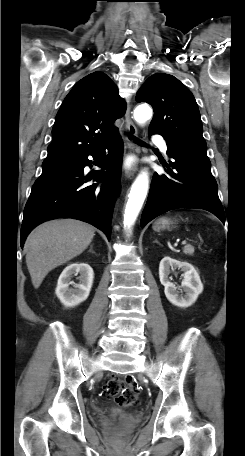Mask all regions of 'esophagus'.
Masks as SVG:
<instances>
[{
	"mask_svg": "<svg viewBox=\"0 0 245 456\" xmlns=\"http://www.w3.org/2000/svg\"><path fill=\"white\" fill-rule=\"evenodd\" d=\"M125 122H126V131H127L125 140H126V147L128 149V155L137 156L140 151L139 147L134 142V137L137 135V128L131 117L130 105L128 106L126 114H125ZM137 170H138L137 164L135 163L133 166H131L130 168H127L125 170V177L127 179H131L135 175Z\"/></svg>",
	"mask_w": 245,
	"mask_h": 456,
	"instance_id": "obj_1",
	"label": "esophagus"
}]
</instances>
